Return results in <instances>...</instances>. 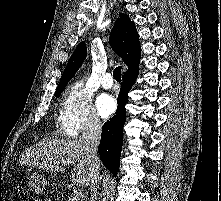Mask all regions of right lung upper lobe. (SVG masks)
I'll use <instances>...</instances> for the list:
<instances>
[{"label": "right lung upper lobe", "instance_id": "obj_1", "mask_svg": "<svg viewBox=\"0 0 221 201\" xmlns=\"http://www.w3.org/2000/svg\"><path fill=\"white\" fill-rule=\"evenodd\" d=\"M110 45L128 66L125 74L138 70L141 48L134 22L126 14H120L110 34ZM86 45L81 42L73 52L62 74L57 91H63L86 58Z\"/></svg>", "mask_w": 221, "mask_h": 201}]
</instances>
